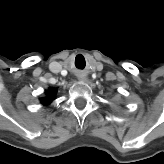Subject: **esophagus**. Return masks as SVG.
Returning <instances> with one entry per match:
<instances>
[{"label": "esophagus", "mask_w": 164, "mask_h": 164, "mask_svg": "<svg viewBox=\"0 0 164 164\" xmlns=\"http://www.w3.org/2000/svg\"><path fill=\"white\" fill-rule=\"evenodd\" d=\"M78 79H79L80 81H86V80H87V77H86V75H84V74H80V75L78 76Z\"/></svg>", "instance_id": "esophagus-1"}]
</instances>
